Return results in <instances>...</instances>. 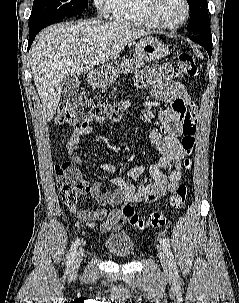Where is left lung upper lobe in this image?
I'll return each mask as SVG.
<instances>
[{
    "label": "left lung upper lobe",
    "instance_id": "1",
    "mask_svg": "<svg viewBox=\"0 0 239 303\" xmlns=\"http://www.w3.org/2000/svg\"><path fill=\"white\" fill-rule=\"evenodd\" d=\"M191 15L187 30L192 35L211 36L210 20L206 0H187Z\"/></svg>",
    "mask_w": 239,
    "mask_h": 303
}]
</instances>
